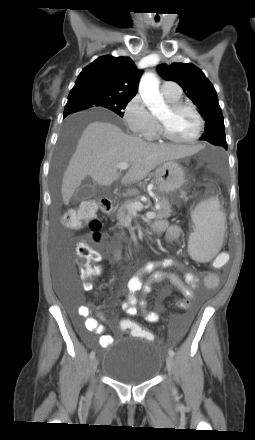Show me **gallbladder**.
Wrapping results in <instances>:
<instances>
[{
    "instance_id": "bac80fb5",
    "label": "gallbladder",
    "mask_w": 255,
    "mask_h": 440,
    "mask_svg": "<svg viewBox=\"0 0 255 440\" xmlns=\"http://www.w3.org/2000/svg\"><path fill=\"white\" fill-rule=\"evenodd\" d=\"M95 184L85 182L77 191L74 193L73 201H84L94 196L95 194Z\"/></svg>"
}]
</instances>
